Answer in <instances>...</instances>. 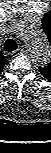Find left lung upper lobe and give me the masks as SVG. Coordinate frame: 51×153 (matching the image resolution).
Here are the masks:
<instances>
[{"label":"left lung upper lobe","mask_w":51,"mask_h":153,"mask_svg":"<svg viewBox=\"0 0 51 153\" xmlns=\"http://www.w3.org/2000/svg\"><path fill=\"white\" fill-rule=\"evenodd\" d=\"M42 26L51 44V11L44 15ZM39 70L45 79L51 81V62L47 66L39 67Z\"/></svg>","instance_id":"5c2ea615"}]
</instances>
